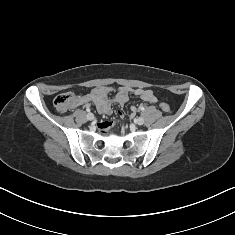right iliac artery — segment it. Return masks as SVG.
<instances>
[{
  "label": "right iliac artery",
  "instance_id": "obj_1",
  "mask_svg": "<svg viewBox=\"0 0 235 235\" xmlns=\"http://www.w3.org/2000/svg\"><path fill=\"white\" fill-rule=\"evenodd\" d=\"M86 111H87V112H90V108H87Z\"/></svg>",
  "mask_w": 235,
  "mask_h": 235
}]
</instances>
